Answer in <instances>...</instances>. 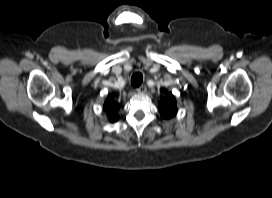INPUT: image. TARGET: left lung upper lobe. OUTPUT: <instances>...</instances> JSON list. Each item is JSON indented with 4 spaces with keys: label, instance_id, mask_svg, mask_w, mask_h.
I'll return each mask as SVG.
<instances>
[{
    "label": "left lung upper lobe",
    "instance_id": "1",
    "mask_svg": "<svg viewBox=\"0 0 272 198\" xmlns=\"http://www.w3.org/2000/svg\"><path fill=\"white\" fill-rule=\"evenodd\" d=\"M159 111L166 118H172L177 113V107L174 96L170 93L169 96L160 100Z\"/></svg>",
    "mask_w": 272,
    "mask_h": 198
}]
</instances>
